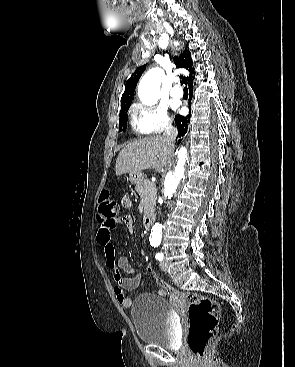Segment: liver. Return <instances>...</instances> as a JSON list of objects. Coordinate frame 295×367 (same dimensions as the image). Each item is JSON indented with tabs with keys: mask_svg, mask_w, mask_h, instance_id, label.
I'll return each instance as SVG.
<instances>
[{
	"mask_svg": "<svg viewBox=\"0 0 295 367\" xmlns=\"http://www.w3.org/2000/svg\"><path fill=\"white\" fill-rule=\"evenodd\" d=\"M173 149L167 146L162 136H151L133 141L123 148L116 160L117 176L145 169L161 172Z\"/></svg>",
	"mask_w": 295,
	"mask_h": 367,
	"instance_id": "6515ba94",
	"label": "liver"
}]
</instances>
